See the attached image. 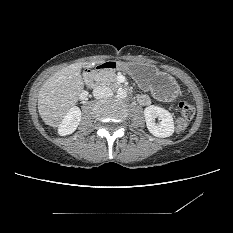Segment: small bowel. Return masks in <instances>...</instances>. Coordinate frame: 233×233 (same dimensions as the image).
Listing matches in <instances>:
<instances>
[{
    "mask_svg": "<svg viewBox=\"0 0 233 233\" xmlns=\"http://www.w3.org/2000/svg\"><path fill=\"white\" fill-rule=\"evenodd\" d=\"M137 100H138V102H139L141 105H143V106H147V105H149L150 102H151L150 98H149L147 95H144V94L139 95V96L137 97Z\"/></svg>",
    "mask_w": 233,
    "mask_h": 233,
    "instance_id": "1",
    "label": "small bowel"
}]
</instances>
